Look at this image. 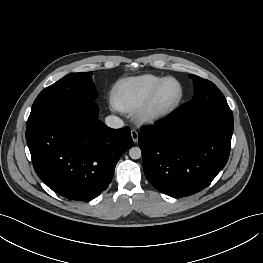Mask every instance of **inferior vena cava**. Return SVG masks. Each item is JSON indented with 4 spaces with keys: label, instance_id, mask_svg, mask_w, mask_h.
I'll return each instance as SVG.
<instances>
[{
    "label": "inferior vena cava",
    "instance_id": "602c4592",
    "mask_svg": "<svg viewBox=\"0 0 263 263\" xmlns=\"http://www.w3.org/2000/svg\"><path fill=\"white\" fill-rule=\"evenodd\" d=\"M105 123L108 127L113 129L122 128L124 125L123 121L119 117L114 115L107 116L105 119Z\"/></svg>",
    "mask_w": 263,
    "mask_h": 263
}]
</instances>
